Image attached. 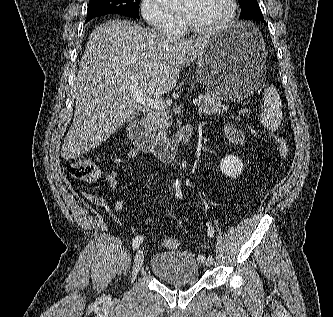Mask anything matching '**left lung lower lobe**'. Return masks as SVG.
<instances>
[{"instance_id":"0a47b994","label":"left lung lower lobe","mask_w":333,"mask_h":317,"mask_svg":"<svg viewBox=\"0 0 333 317\" xmlns=\"http://www.w3.org/2000/svg\"><path fill=\"white\" fill-rule=\"evenodd\" d=\"M260 21H262V22H264V23H265V21H264V18H263L262 20H260Z\"/></svg>"}]
</instances>
